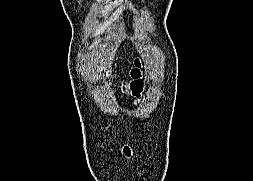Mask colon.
<instances>
[{"label": "colon", "mask_w": 253, "mask_h": 181, "mask_svg": "<svg viewBox=\"0 0 253 181\" xmlns=\"http://www.w3.org/2000/svg\"><path fill=\"white\" fill-rule=\"evenodd\" d=\"M130 76L133 78V81L129 84V89L133 96H138L142 89V85L139 80V72L134 69L131 71Z\"/></svg>", "instance_id": "obj_1"}]
</instances>
